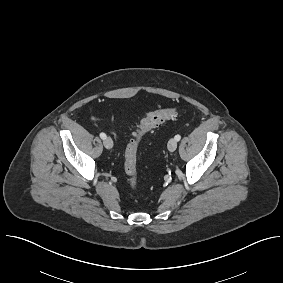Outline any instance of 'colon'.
<instances>
[{
  "label": "colon",
  "mask_w": 283,
  "mask_h": 283,
  "mask_svg": "<svg viewBox=\"0 0 283 283\" xmlns=\"http://www.w3.org/2000/svg\"><path fill=\"white\" fill-rule=\"evenodd\" d=\"M175 114V108H162L152 111L134 128L124 155V171L128 176L132 188H135L137 185L138 147L142 137L167 120L173 118Z\"/></svg>",
  "instance_id": "5ec220e1"
}]
</instances>
